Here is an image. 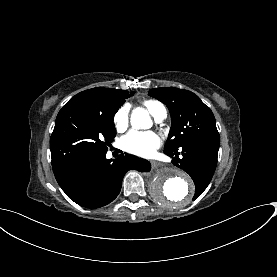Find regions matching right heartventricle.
Returning <instances> with one entry per match:
<instances>
[{
  "mask_svg": "<svg viewBox=\"0 0 277 277\" xmlns=\"http://www.w3.org/2000/svg\"><path fill=\"white\" fill-rule=\"evenodd\" d=\"M143 105L154 117L157 114L159 107L161 106L159 102L153 100L143 101Z\"/></svg>",
  "mask_w": 277,
  "mask_h": 277,
  "instance_id": "obj_1",
  "label": "right heart ventricle"
}]
</instances>
